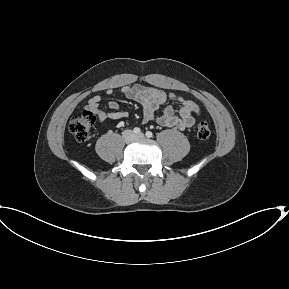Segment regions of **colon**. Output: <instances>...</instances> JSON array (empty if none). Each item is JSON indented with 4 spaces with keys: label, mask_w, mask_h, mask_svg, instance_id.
<instances>
[{
    "label": "colon",
    "mask_w": 289,
    "mask_h": 289,
    "mask_svg": "<svg viewBox=\"0 0 289 289\" xmlns=\"http://www.w3.org/2000/svg\"><path fill=\"white\" fill-rule=\"evenodd\" d=\"M94 123L93 113L89 110H83L70 119L68 128L77 141L83 142L88 138ZM196 133L200 140H207L211 135L209 124L206 121H201L197 126Z\"/></svg>",
    "instance_id": "colon-1"
}]
</instances>
